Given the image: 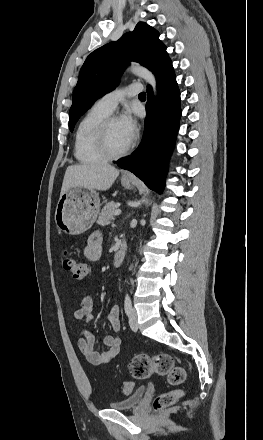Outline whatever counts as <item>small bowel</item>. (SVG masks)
Segmentation results:
<instances>
[{
  "instance_id": "c3829d8e",
  "label": "small bowel",
  "mask_w": 263,
  "mask_h": 440,
  "mask_svg": "<svg viewBox=\"0 0 263 440\" xmlns=\"http://www.w3.org/2000/svg\"><path fill=\"white\" fill-rule=\"evenodd\" d=\"M103 247V235L101 232H93L84 247V256L90 261L100 259ZM95 302L91 295H86L81 302L80 308L75 313L77 320L90 323L93 319ZM108 319L113 330V334L104 337L105 349L97 351L95 349V336L90 329H84L77 339V345L86 360L92 365H101L111 362L119 352L121 328L119 306L113 305L110 309Z\"/></svg>"
}]
</instances>
